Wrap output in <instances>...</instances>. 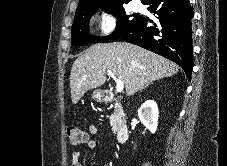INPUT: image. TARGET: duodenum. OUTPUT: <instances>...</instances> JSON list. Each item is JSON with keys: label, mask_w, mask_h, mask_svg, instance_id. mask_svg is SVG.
<instances>
[{"label": "duodenum", "mask_w": 227, "mask_h": 166, "mask_svg": "<svg viewBox=\"0 0 227 166\" xmlns=\"http://www.w3.org/2000/svg\"><path fill=\"white\" fill-rule=\"evenodd\" d=\"M107 102H118V99L112 94L107 93L105 96ZM129 138V127L127 125H121L117 132V139L119 143H125Z\"/></svg>", "instance_id": "obj_1"}]
</instances>
